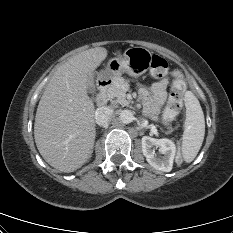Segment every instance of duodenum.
<instances>
[{
	"label": "duodenum",
	"instance_id": "1",
	"mask_svg": "<svg viewBox=\"0 0 233 233\" xmlns=\"http://www.w3.org/2000/svg\"><path fill=\"white\" fill-rule=\"evenodd\" d=\"M111 85V79L108 77L101 78L98 83L99 93L97 95V105L100 107L105 106L108 103L109 95L108 89Z\"/></svg>",
	"mask_w": 233,
	"mask_h": 233
}]
</instances>
